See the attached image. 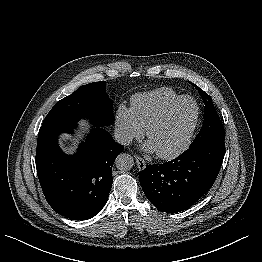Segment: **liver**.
<instances>
[{
	"label": "liver",
	"mask_w": 262,
	"mask_h": 262,
	"mask_svg": "<svg viewBox=\"0 0 262 262\" xmlns=\"http://www.w3.org/2000/svg\"><path fill=\"white\" fill-rule=\"evenodd\" d=\"M77 149V143L76 141H73L71 144H68L65 148V151L67 153H74Z\"/></svg>",
	"instance_id": "obj_1"
}]
</instances>
